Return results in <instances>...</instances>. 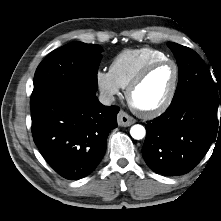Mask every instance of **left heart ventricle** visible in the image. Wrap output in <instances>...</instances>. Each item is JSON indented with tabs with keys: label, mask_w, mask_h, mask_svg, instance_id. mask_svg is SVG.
I'll list each match as a JSON object with an SVG mask.
<instances>
[{
	"label": "left heart ventricle",
	"mask_w": 221,
	"mask_h": 221,
	"mask_svg": "<svg viewBox=\"0 0 221 221\" xmlns=\"http://www.w3.org/2000/svg\"><path fill=\"white\" fill-rule=\"evenodd\" d=\"M174 78L170 64L154 68L133 93V103L141 109H151L159 105L168 94Z\"/></svg>",
	"instance_id": "1"
}]
</instances>
